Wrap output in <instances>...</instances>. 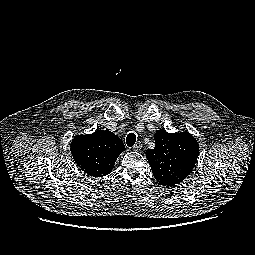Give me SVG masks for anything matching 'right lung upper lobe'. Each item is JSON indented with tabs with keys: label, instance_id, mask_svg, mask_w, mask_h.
Listing matches in <instances>:
<instances>
[{
	"label": "right lung upper lobe",
	"instance_id": "obj_1",
	"mask_svg": "<svg viewBox=\"0 0 255 255\" xmlns=\"http://www.w3.org/2000/svg\"><path fill=\"white\" fill-rule=\"evenodd\" d=\"M124 150L122 140L108 130L77 135L71 143V153L75 162L81 170L93 177L108 175Z\"/></svg>",
	"mask_w": 255,
	"mask_h": 255
}]
</instances>
